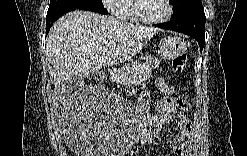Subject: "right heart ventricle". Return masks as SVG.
Wrapping results in <instances>:
<instances>
[{"label":"right heart ventricle","mask_w":247,"mask_h":156,"mask_svg":"<svg viewBox=\"0 0 247 156\" xmlns=\"http://www.w3.org/2000/svg\"><path fill=\"white\" fill-rule=\"evenodd\" d=\"M120 18H129L130 17V12H129V1H124L123 4L121 5V12L118 14Z\"/></svg>","instance_id":"1"}]
</instances>
